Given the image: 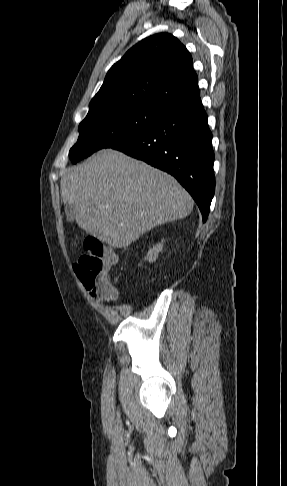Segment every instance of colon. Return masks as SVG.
<instances>
[{
	"label": "colon",
	"instance_id": "1",
	"mask_svg": "<svg viewBox=\"0 0 287 486\" xmlns=\"http://www.w3.org/2000/svg\"><path fill=\"white\" fill-rule=\"evenodd\" d=\"M85 253L76 262L74 269L85 289L97 300L112 301L118 291L110 280V271L118 258L95 237L85 241Z\"/></svg>",
	"mask_w": 287,
	"mask_h": 486
}]
</instances>
